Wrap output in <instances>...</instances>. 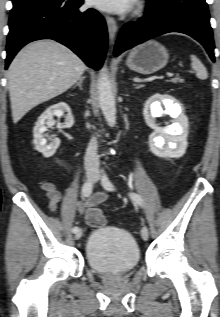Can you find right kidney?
<instances>
[{
    "mask_svg": "<svg viewBox=\"0 0 220 317\" xmlns=\"http://www.w3.org/2000/svg\"><path fill=\"white\" fill-rule=\"evenodd\" d=\"M65 115V127L70 128L74 124V117L71 113L70 107L64 103L60 102L50 106L46 109L38 118L34 128H33V143L35 149L42 153L44 157H51L55 154L57 148L60 145V139L54 138L50 143H47V139L44 137V132L46 131V126L51 127L54 125V116L61 117Z\"/></svg>",
    "mask_w": 220,
    "mask_h": 317,
    "instance_id": "1",
    "label": "right kidney"
}]
</instances>
